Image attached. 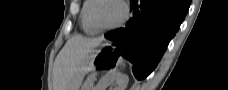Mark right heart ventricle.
I'll return each instance as SVG.
<instances>
[{
	"instance_id": "right-heart-ventricle-1",
	"label": "right heart ventricle",
	"mask_w": 228,
	"mask_h": 90,
	"mask_svg": "<svg viewBox=\"0 0 228 90\" xmlns=\"http://www.w3.org/2000/svg\"><path fill=\"white\" fill-rule=\"evenodd\" d=\"M94 4V0H85L83 1L81 11H80V21L83 31L86 34L92 35L97 33V30L92 26L90 22V9Z\"/></svg>"
}]
</instances>
